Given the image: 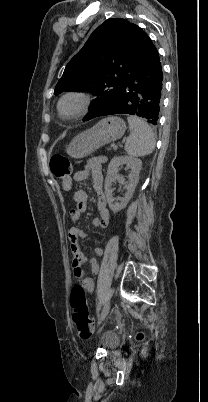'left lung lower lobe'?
Returning <instances> with one entry per match:
<instances>
[{"instance_id":"1","label":"left lung lower lobe","mask_w":208,"mask_h":402,"mask_svg":"<svg viewBox=\"0 0 208 402\" xmlns=\"http://www.w3.org/2000/svg\"><path fill=\"white\" fill-rule=\"evenodd\" d=\"M130 42L133 44V69L119 86L114 101L96 117L130 114L157 125L163 98V72L159 54L148 35L137 25H134Z\"/></svg>"}]
</instances>
